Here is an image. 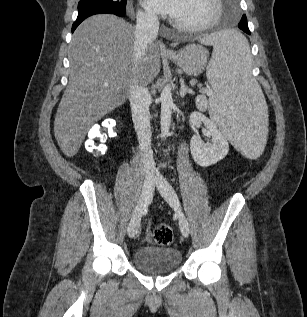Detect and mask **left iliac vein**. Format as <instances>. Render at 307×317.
I'll return each mask as SVG.
<instances>
[{
    "label": "left iliac vein",
    "instance_id": "left-iliac-vein-1",
    "mask_svg": "<svg viewBox=\"0 0 307 317\" xmlns=\"http://www.w3.org/2000/svg\"><path fill=\"white\" fill-rule=\"evenodd\" d=\"M156 186L158 190L160 191L161 195L163 196V198L166 200V202L178 212L179 227H180L181 233L184 237H188L189 231H190L189 223L181 210L179 198L177 196L176 191L171 186V184L167 180H165L162 176H159L156 179Z\"/></svg>",
    "mask_w": 307,
    "mask_h": 317
}]
</instances>
